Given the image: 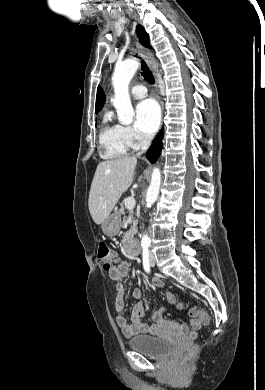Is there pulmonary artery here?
Returning <instances> with one entry per match:
<instances>
[{"instance_id":"1","label":"pulmonary artery","mask_w":265,"mask_h":390,"mask_svg":"<svg viewBox=\"0 0 265 390\" xmlns=\"http://www.w3.org/2000/svg\"><path fill=\"white\" fill-rule=\"evenodd\" d=\"M133 97L140 99L147 95V88L144 85H135L131 89Z\"/></svg>"}]
</instances>
